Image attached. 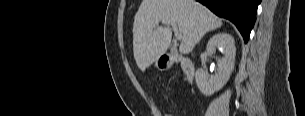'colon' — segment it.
<instances>
[{
	"mask_svg": "<svg viewBox=\"0 0 305 116\" xmlns=\"http://www.w3.org/2000/svg\"><path fill=\"white\" fill-rule=\"evenodd\" d=\"M161 116H173V114L170 113V112L165 111V112H163V113L161 114Z\"/></svg>",
	"mask_w": 305,
	"mask_h": 116,
	"instance_id": "colon-1",
	"label": "colon"
}]
</instances>
